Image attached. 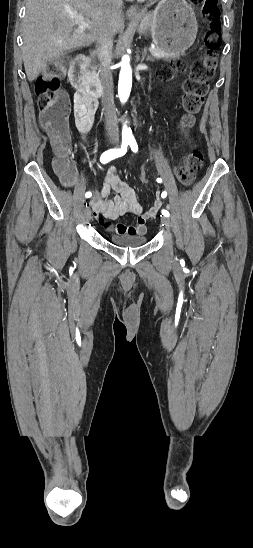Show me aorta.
Returning <instances> with one entry per match:
<instances>
[{"mask_svg": "<svg viewBox=\"0 0 253 548\" xmlns=\"http://www.w3.org/2000/svg\"><path fill=\"white\" fill-rule=\"evenodd\" d=\"M132 87V69L130 66V58L125 55L122 57L121 61V70L119 74V83H118V96L122 103H125L130 95ZM123 138L132 137L131 130L124 126L122 131Z\"/></svg>", "mask_w": 253, "mask_h": 548, "instance_id": "1", "label": "aorta"}]
</instances>
